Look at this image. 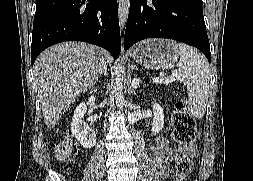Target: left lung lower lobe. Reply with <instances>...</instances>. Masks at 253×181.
I'll return each mask as SVG.
<instances>
[{"mask_svg":"<svg viewBox=\"0 0 253 181\" xmlns=\"http://www.w3.org/2000/svg\"><path fill=\"white\" fill-rule=\"evenodd\" d=\"M146 38L184 42L211 60L202 0H131L124 49Z\"/></svg>","mask_w":253,"mask_h":181,"instance_id":"left-lung-lower-lobe-1","label":"left lung lower lobe"}]
</instances>
